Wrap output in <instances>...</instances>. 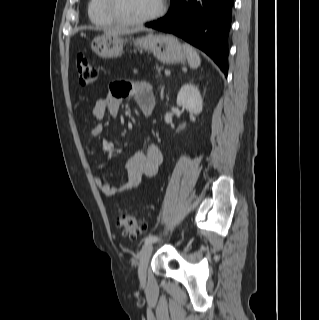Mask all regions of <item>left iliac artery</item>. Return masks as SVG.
Wrapping results in <instances>:
<instances>
[{
    "label": "left iliac artery",
    "mask_w": 319,
    "mask_h": 320,
    "mask_svg": "<svg viewBox=\"0 0 319 320\" xmlns=\"http://www.w3.org/2000/svg\"><path fill=\"white\" fill-rule=\"evenodd\" d=\"M158 240V237L156 235H149L146 239H145V244L148 243H153L156 242Z\"/></svg>",
    "instance_id": "obj_1"
}]
</instances>
